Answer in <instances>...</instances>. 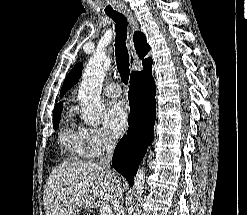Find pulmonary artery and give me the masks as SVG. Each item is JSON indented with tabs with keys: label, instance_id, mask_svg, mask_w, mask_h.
I'll return each instance as SVG.
<instances>
[{
	"label": "pulmonary artery",
	"instance_id": "1",
	"mask_svg": "<svg viewBox=\"0 0 247 215\" xmlns=\"http://www.w3.org/2000/svg\"><path fill=\"white\" fill-rule=\"evenodd\" d=\"M104 94L110 98H117L121 95V88L117 83H110L105 86Z\"/></svg>",
	"mask_w": 247,
	"mask_h": 215
}]
</instances>
